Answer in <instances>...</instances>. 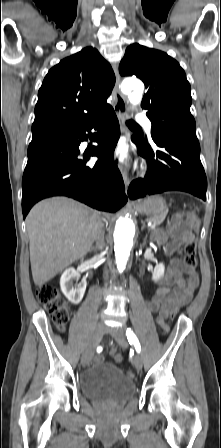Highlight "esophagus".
Segmentation results:
<instances>
[{"label":"esophagus","mask_w":221,"mask_h":448,"mask_svg":"<svg viewBox=\"0 0 221 448\" xmlns=\"http://www.w3.org/2000/svg\"><path fill=\"white\" fill-rule=\"evenodd\" d=\"M114 72H115V76H116V82H115V86L113 89V95H114L113 107H114L116 116L118 118L121 131L124 132L125 131L124 118L127 113V104H126L124 96L122 95V93L120 91V76H119V72H118L116 65H114ZM122 177L124 180L125 187L127 189L130 184V179L128 176V172L125 168L122 169Z\"/></svg>","instance_id":"obj_1"}]
</instances>
